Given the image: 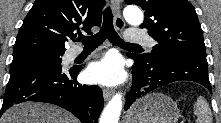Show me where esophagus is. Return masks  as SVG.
Returning <instances> with one entry per match:
<instances>
[{"label":"esophagus","mask_w":221,"mask_h":123,"mask_svg":"<svg viewBox=\"0 0 221 123\" xmlns=\"http://www.w3.org/2000/svg\"><path fill=\"white\" fill-rule=\"evenodd\" d=\"M111 5L114 13V24L118 30H123L125 22L120 13V0H111ZM113 94V91L109 88H103V97L105 101H108Z\"/></svg>","instance_id":"1"}]
</instances>
